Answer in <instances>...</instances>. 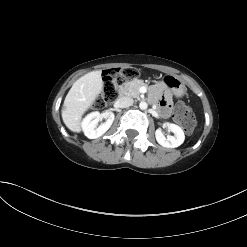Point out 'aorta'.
I'll return each instance as SVG.
<instances>
[{
    "instance_id": "1",
    "label": "aorta",
    "mask_w": 247,
    "mask_h": 247,
    "mask_svg": "<svg viewBox=\"0 0 247 247\" xmlns=\"http://www.w3.org/2000/svg\"><path fill=\"white\" fill-rule=\"evenodd\" d=\"M148 107V104L145 102V101H141L140 104H139V108L141 110H146Z\"/></svg>"
}]
</instances>
